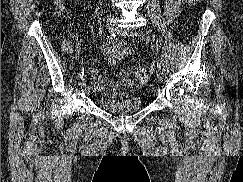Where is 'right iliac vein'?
<instances>
[{
  "label": "right iliac vein",
  "mask_w": 243,
  "mask_h": 182,
  "mask_svg": "<svg viewBox=\"0 0 243 182\" xmlns=\"http://www.w3.org/2000/svg\"><path fill=\"white\" fill-rule=\"evenodd\" d=\"M106 29L108 30L109 33H113L116 30V26L113 22H109L106 25ZM79 85L86 90L87 88V82L85 77H82L79 81Z\"/></svg>",
  "instance_id": "obj_1"
}]
</instances>
